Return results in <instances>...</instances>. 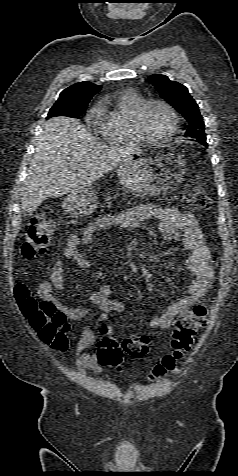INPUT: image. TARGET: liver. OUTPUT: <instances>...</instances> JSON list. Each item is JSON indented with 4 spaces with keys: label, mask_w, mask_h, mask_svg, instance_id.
I'll list each match as a JSON object with an SVG mask.
<instances>
[{
    "label": "liver",
    "mask_w": 238,
    "mask_h": 476,
    "mask_svg": "<svg viewBox=\"0 0 238 476\" xmlns=\"http://www.w3.org/2000/svg\"><path fill=\"white\" fill-rule=\"evenodd\" d=\"M142 150L95 141L77 119L54 117L38 137L21 192L22 210L31 216L47 197H58L91 184ZM72 170H77L72 173Z\"/></svg>",
    "instance_id": "liver-1"
}]
</instances>
